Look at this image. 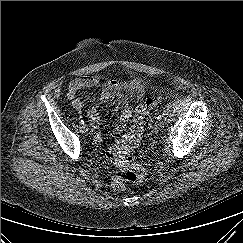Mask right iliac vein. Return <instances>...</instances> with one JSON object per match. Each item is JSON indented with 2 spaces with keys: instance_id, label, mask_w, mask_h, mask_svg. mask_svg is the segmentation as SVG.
I'll return each instance as SVG.
<instances>
[{
  "instance_id": "1",
  "label": "right iliac vein",
  "mask_w": 243,
  "mask_h": 243,
  "mask_svg": "<svg viewBox=\"0 0 243 243\" xmlns=\"http://www.w3.org/2000/svg\"><path fill=\"white\" fill-rule=\"evenodd\" d=\"M88 131V127L86 125H81L80 126V132L86 133Z\"/></svg>"
}]
</instances>
